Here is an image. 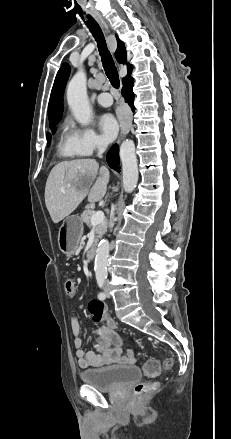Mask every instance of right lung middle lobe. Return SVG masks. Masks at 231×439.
<instances>
[{
  "label": "right lung middle lobe",
  "mask_w": 231,
  "mask_h": 439,
  "mask_svg": "<svg viewBox=\"0 0 231 439\" xmlns=\"http://www.w3.org/2000/svg\"><path fill=\"white\" fill-rule=\"evenodd\" d=\"M52 130H53V132H55V130H56V127L55 126H53V127H50ZM46 138H47V141H48V145L50 144V138H51V136H50V134L48 133L47 135H46Z\"/></svg>",
  "instance_id": "right-lung-middle-lobe-1"
}]
</instances>
